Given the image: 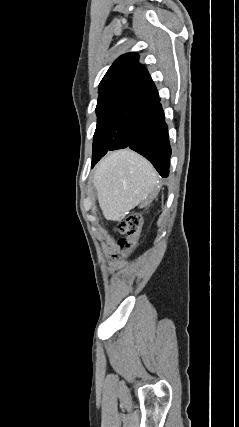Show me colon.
Wrapping results in <instances>:
<instances>
[{"mask_svg": "<svg viewBox=\"0 0 239 427\" xmlns=\"http://www.w3.org/2000/svg\"><path fill=\"white\" fill-rule=\"evenodd\" d=\"M143 226V217L140 213L130 215L123 223H121L117 231L123 236L119 242L123 253L132 250L136 240L138 239ZM122 258L121 254L113 255V260L119 261Z\"/></svg>", "mask_w": 239, "mask_h": 427, "instance_id": "1", "label": "colon"}]
</instances>
